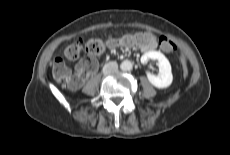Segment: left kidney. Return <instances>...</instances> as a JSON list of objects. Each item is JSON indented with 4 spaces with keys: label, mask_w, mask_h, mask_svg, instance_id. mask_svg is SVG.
I'll list each match as a JSON object with an SVG mask.
<instances>
[{
    "label": "left kidney",
    "mask_w": 230,
    "mask_h": 155,
    "mask_svg": "<svg viewBox=\"0 0 230 155\" xmlns=\"http://www.w3.org/2000/svg\"><path fill=\"white\" fill-rule=\"evenodd\" d=\"M157 60L159 67V74L157 76L148 73L147 78L149 82L156 88H167L172 84L173 75L169 60L159 51H148L141 57V63L145 64L149 60Z\"/></svg>",
    "instance_id": "5707ae66"
}]
</instances>
